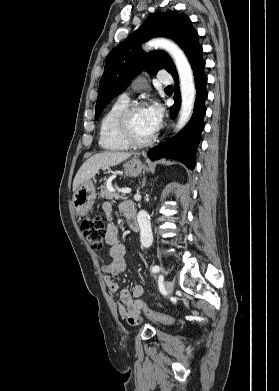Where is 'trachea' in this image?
Here are the masks:
<instances>
[{"label": "trachea", "mask_w": 279, "mask_h": 391, "mask_svg": "<svg viewBox=\"0 0 279 391\" xmlns=\"http://www.w3.org/2000/svg\"><path fill=\"white\" fill-rule=\"evenodd\" d=\"M173 87L171 85L167 86L165 89H172Z\"/></svg>", "instance_id": "obj_1"}]
</instances>
